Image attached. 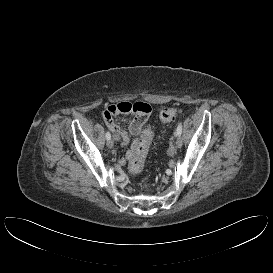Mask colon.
Wrapping results in <instances>:
<instances>
[{
  "instance_id": "obj_1",
  "label": "colon",
  "mask_w": 273,
  "mask_h": 273,
  "mask_svg": "<svg viewBox=\"0 0 273 273\" xmlns=\"http://www.w3.org/2000/svg\"><path fill=\"white\" fill-rule=\"evenodd\" d=\"M178 114L176 108H164L160 112V120L164 123L173 121ZM152 130L149 127H146L143 130L142 137L138 140L134 147L133 155L129 161V171L133 174L140 173L144 167L146 155L149 149V144L152 138ZM143 188L148 187L147 182L142 183Z\"/></svg>"
}]
</instances>
